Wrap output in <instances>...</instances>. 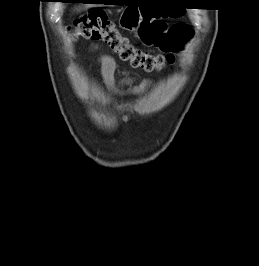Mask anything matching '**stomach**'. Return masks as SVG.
<instances>
[{"label": "stomach", "instance_id": "stomach-1", "mask_svg": "<svg viewBox=\"0 0 259 266\" xmlns=\"http://www.w3.org/2000/svg\"><path fill=\"white\" fill-rule=\"evenodd\" d=\"M139 19L140 18H137L130 9H125L120 20V26L127 30L134 31L139 26Z\"/></svg>", "mask_w": 259, "mask_h": 266}]
</instances>
